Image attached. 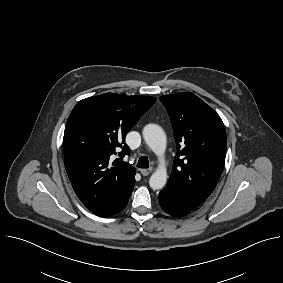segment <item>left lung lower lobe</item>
Segmentation results:
<instances>
[{
    "mask_svg": "<svg viewBox=\"0 0 283 283\" xmlns=\"http://www.w3.org/2000/svg\"><path fill=\"white\" fill-rule=\"evenodd\" d=\"M158 199L162 209L174 217L185 216L193 210L169 186L159 193Z\"/></svg>",
    "mask_w": 283,
    "mask_h": 283,
    "instance_id": "1",
    "label": "left lung lower lobe"
}]
</instances>
